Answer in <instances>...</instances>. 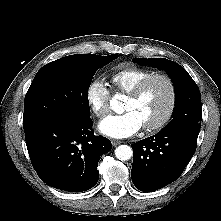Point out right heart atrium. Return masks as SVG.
Here are the masks:
<instances>
[{
  "label": "right heart atrium",
  "mask_w": 221,
  "mask_h": 221,
  "mask_svg": "<svg viewBox=\"0 0 221 221\" xmlns=\"http://www.w3.org/2000/svg\"><path fill=\"white\" fill-rule=\"evenodd\" d=\"M85 100L97 117L102 118L109 112V90L100 79H94L88 84Z\"/></svg>",
  "instance_id": "1"
}]
</instances>
